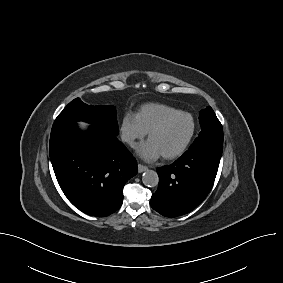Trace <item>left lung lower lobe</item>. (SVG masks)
<instances>
[{
    "label": "left lung lower lobe",
    "mask_w": 283,
    "mask_h": 283,
    "mask_svg": "<svg viewBox=\"0 0 283 283\" xmlns=\"http://www.w3.org/2000/svg\"><path fill=\"white\" fill-rule=\"evenodd\" d=\"M222 151L208 146L189 148L170 166L157 168L159 185L150 200L151 207L173 218L194 210L209 194Z\"/></svg>",
    "instance_id": "1"
}]
</instances>
